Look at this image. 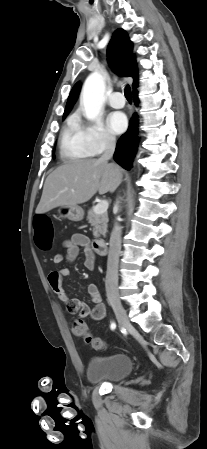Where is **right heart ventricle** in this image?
<instances>
[{"label": "right heart ventricle", "instance_id": "right-heart-ventricle-1", "mask_svg": "<svg viewBox=\"0 0 207 449\" xmlns=\"http://www.w3.org/2000/svg\"><path fill=\"white\" fill-rule=\"evenodd\" d=\"M60 156L65 161L88 158L92 155L76 116H70L60 138Z\"/></svg>", "mask_w": 207, "mask_h": 449}]
</instances>
